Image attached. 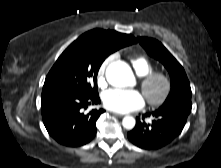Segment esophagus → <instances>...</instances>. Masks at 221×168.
<instances>
[{"label":"esophagus","instance_id":"34e87169","mask_svg":"<svg viewBox=\"0 0 221 168\" xmlns=\"http://www.w3.org/2000/svg\"><path fill=\"white\" fill-rule=\"evenodd\" d=\"M111 114H113V115L116 116V117H123L122 114H118V113H115V112H111Z\"/></svg>","mask_w":221,"mask_h":168}]
</instances>
